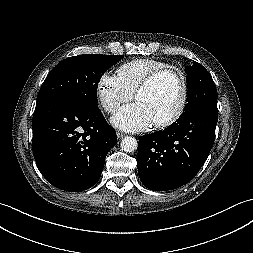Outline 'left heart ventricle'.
Instances as JSON below:
<instances>
[{
  "label": "left heart ventricle",
  "instance_id": "1",
  "mask_svg": "<svg viewBox=\"0 0 253 253\" xmlns=\"http://www.w3.org/2000/svg\"><path fill=\"white\" fill-rule=\"evenodd\" d=\"M179 99V84L171 75L162 77L152 88L136 96V101L148 109L153 122L172 115L178 107Z\"/></svg>",
  "mask_w": 253,
  "mask_h": 253
}]
</instances>
